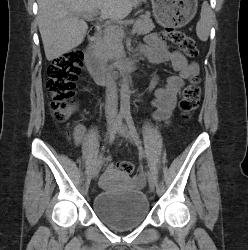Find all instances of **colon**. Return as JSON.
I'll return each mask as SVG.
<instances>
[{
	"label": "colon",
	"instance_id": "obj_1",
	"mask_svg": "<svg viewBox=\"0 0 248 250\" xmlns=\"http://www.w3.org/2000/svg\"><path fill=\"white\" fill-rule=\"evenodd\" d=\"M164 37L178 46L189 57L198 55L195 39L186 32L167 26ZM83 50L74 48L58 57L47 69V89L51 99L53 117L58 122L66 121L74 110L75 84L83 66ZM201 97L198 76L190 79L182 91L179 109L184 118H189L197 109ZM117 168L126 175L134 171L132 163L120 161Z\"/></svg>",
	"mask_w": 248,
	"mask_h": 250
}]
</instances>
